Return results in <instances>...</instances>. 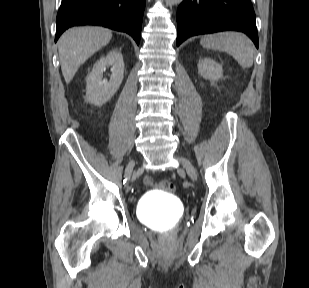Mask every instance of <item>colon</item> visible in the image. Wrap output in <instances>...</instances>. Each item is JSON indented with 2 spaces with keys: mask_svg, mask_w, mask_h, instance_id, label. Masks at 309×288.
<instances>
[{
  "mask_svg": "<svg viewBox=\"0 0 309 288\" xmlns=\"http://www.w3.org/2000/svg\"><path fill=\"white\" fill-rule=\"evenodd\" d=\"M152 181L150 178L145 179V183L150 184ZM160 188H162L165 191H172L173 190V185L169 182L163 181L159 184Z\"/></svg>",
  "mask_w": 309,
  "mask_h": 288,
  "instance_id": "5ec220e1",
  "label": "colon"
}]
</instances>
